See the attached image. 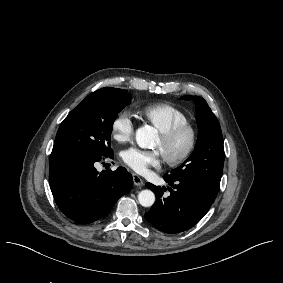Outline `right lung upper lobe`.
<instances>
[{"label": "right lung upper lobe", "mask_w": 283, "mask_h": 283, "mask_svg": "<svg viewBox=\"0 0 283 283\" xmlns=\"http://www.w3.org/2000/svg\"><path fill=\"white\" fill-rule=\"evenodd\" d=\"M102 89H105V88H102ZM102 89H100V90H102ZM97 91H99V90H97ZM97 91H95V92H97Z\"/></svg>", "instance_id": "obj_1"}]
</instances>
